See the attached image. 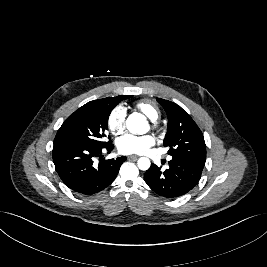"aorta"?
Instances as JSON below:
<instances>
[{
  "label": "aorta",
  "mask_w": 267,
  "mask_h": 267,
  "mask_svg": "<svg viewBox=\"0 0 267 267\" xmlns=\"http://www.w3.org/2000/svg\"><path fill=\"white\" fill-rule=\"evenodd\" d=\"M126 126L130 133L142 135L148 131V123L145 117L139 113H132L126 120ZM138 168L140 170H148L151 162L146 157H141L137 161Z\"/></svg>",
  "instance_id": "762f6f07"
}]
</instances>
